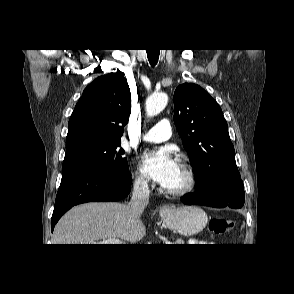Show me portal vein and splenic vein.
<instances>
[{"instance_id": "obj_1", "label": "portal vein and splenic vein", "mask_w": 294, "mask_h": 294, "mask_svg": "<svg viewBox=\"0 0 294 294\" xmlns=\"http://www.w3.org/2000/svg\"><path fill=\"white\" fill-rule=\"evenodd\" d=\"M98 244H108V245H117V244H125L122 240L118 238H106L102 239Z\"/></svg>"}]
</instances>
